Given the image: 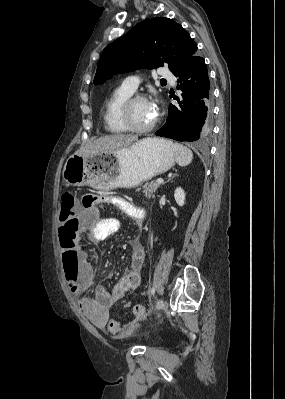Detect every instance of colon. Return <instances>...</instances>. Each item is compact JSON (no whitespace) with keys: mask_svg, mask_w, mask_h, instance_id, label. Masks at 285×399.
Listing matches in <instances>:
<instances>
[{"mask_svg":"<svg viewBox=\"0 0 285 399\" xmlns=\"http://www.w3.org/2000/svg\"><path fill=\"white\" fill-rule=\"evenodd\" d=\"M98 197L94 195H88L84 198L82 204L86 206H91L97 203ZM77 205V198L72 193H66L63 195L61 199L60 205V223L63 228L75 230L76 226L74 224H70L67 222L68 216L72 213L74 208ZM80 257L81 252L78 247L74 246L69 250H66L63 254V268L65 276L69 282V286L73 293L77 294L79 291V287L77 286V278L80 272ZM145 314V308L142 305H135L131 309V315L133 318H140ZM114 323L125 327L127 326L126 322H121L119 320H113Z\"/></svg>","mask_w":285,"mask_h":399,"instance_id":"colon-1","label":"colon"}]
</instances>
